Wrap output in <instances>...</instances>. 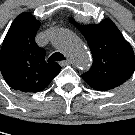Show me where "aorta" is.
<instances>
[{"label":"aorta","mask_w":135,"mask_h":135,"mask_svg":"<svg viewBox=\"0 0 135 135\" xmlns=\"http://www.w3.org/2000/svg\"><path fill=\"white\" fill-rule=\"evenodd\" d=\"M51 42L58 50L66 53L78 68L87 69L90 66V54L73 32L57 29L52 34Z\"/></svg>","instance_id":"aorta-1"}]
</instances>
